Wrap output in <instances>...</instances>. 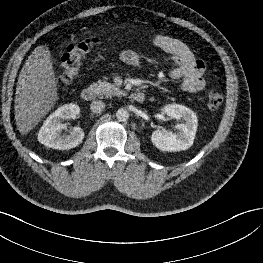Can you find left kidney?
Returning a JSON list of instances; mask_svg holds the SVG:
<instances>
[{"label":"left kidney","mask_w":263,"mask_h":263,"mask_svg":"<svg viewBox=\"0 0 263 263\" xmlns=\"http://www.w3.org/2000/svg\"><path fill=\"white\" fill-rule=\"evenodd\" d=\"M163 112L171 119H182L184 123L175 126L176 132L155 130L151 141L158 149L168 152L182 151L190 148L197 131V116L189 108L179 104H169Z\"/></svg>","instance_id":"5707ae66"}]
</instances>
